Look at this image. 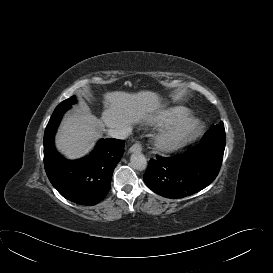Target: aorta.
I'll return each mask as SVG.
<instances>
[{
  "label": "aorta",
  "mask_w": 273,
  "mask_h": 273,
  "mask_svg": "<svg viewBox=\"0 0 273 273\" xmlns=\"http://www.w3.org/2000/svg\"><path fill=\"white\" fill-rule=\"evenodd\" d=\"M130 163L138 171H143L147 168V160L141 152L133 153L130 157Z\"/></svg>",
  "instance_id": "1"
}]
</instances>
